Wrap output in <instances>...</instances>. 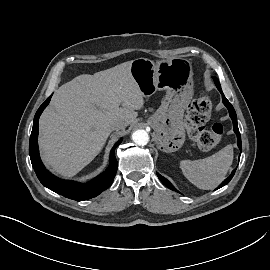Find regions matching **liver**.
<instances>
[{"instance_id": "obj_1", "label": "liver", "mask_w": 270, "mask_h": 270, "mask_svg": "<svg viewBox=\"0 0 270 270\" xmlns=\"http://www.w3.org/2000/svg\"><path fill=\"white\" fill-rule=\"evenodd\" d=\"M132 61L63 84L40 117L44 163L72 177L101 151L115 121L133 123L144 95L131 75ZM122 106V107H120Z\"/></svg>"}]
</instances>
